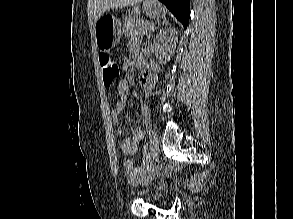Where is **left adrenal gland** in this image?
Here are the masks:
<instances>
[{"label": "left adrenal gland", "instance_id": "obj_1", "mask_svg": "<svg viewBox=\"0 0 293 219\" xmlns=\"http://www.w3.org/2000/svg\"><path fill=\"white\" fill-rule=\"evenodd\" d=\"M164 23L168 24V22H167L166 20L163 21V24H164ZM152 31H154V30H152ZM150 32H151V31H150ZM150 32H149V34H148V38L150 37Z\"/></svg>", "mask_w": 293, "mask_h": 219}]
</instances>
